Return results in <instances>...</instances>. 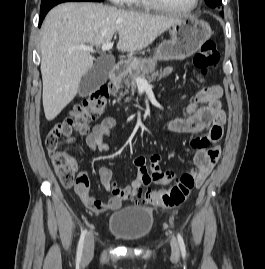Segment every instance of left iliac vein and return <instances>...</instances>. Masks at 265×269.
Returning <instances> with one entry per match:
<instances>
[{"label": "left iliac vein", "mask_w": 265, "mask_h": 269, "mask_svg": "<svg viewBox=\"0 0 265 269\" xmlns=\"http://www.w3.org/2000/svg\"><path fill=\"white\" fill-rule=\"evenodd\" d=\"M170 245H171V251H172L173 258H178L179 257V246H178V242H177L176 238H174V237L171 238Z\"/></svg>", "instance_id": "1"}]
</instances>
